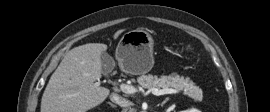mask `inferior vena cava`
Instances as JSON below:
<instances>
[{"instance_id": "inferior-vena-cava-1", "label": "inferior vena cava", "mask_w": 270, "mask_h": 112, "mask_svg": "<svg viewBox=\"0 0 270 112\" xmlns=\"http://www.w3.org/2000/svg\"><path fill=\"white\" fill-rule=\"evenodd\" d=\"M110 100L116 104H118L121 107H126L130 105V101L116 93H112L110 96Z\"/></svg>"}]
</instances>
